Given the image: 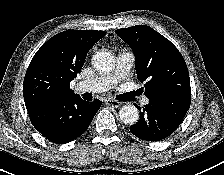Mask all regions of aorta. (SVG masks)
<instances>
[{
  "mask_svg": "<svg viewBox=\"0 0 224 175\" xmlns=\"http://www.w3.org/2000/svg\"><path fill=\"white\" fill-rule=\"evenodd\" d=\"M115 58L108 51H99L92 58L93 67L101 72H110L115 67ZM119 119L125 124H133L139 120L138 109L134 105H124L119 110Z\"/></svg>",
  "mask_w": 224,
  "mask_h": 175,
  "instance_id": "aorta-1",
  "label": "aorta"
}]
</instances>
